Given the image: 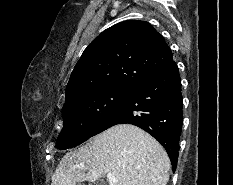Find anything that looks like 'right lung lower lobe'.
<instances>
[{"mask_svg": "<svg viewBox=\"0 0 233 185\" xmlns=\"http://www.w3.org/2000/svg\"><path fill=\"white\" fill-rule=\"evenodd\" d=\"M181 79L175 62L137 83L101 122L93 136L120 123L147 131L166 149L175 172L183 113Z\"/></svg>", "mask_w": 233, "mask_h": 185, "instance_id": "right-lung-lower-lobe-1", "label": "right lung lower lobe"}]
</instances>
